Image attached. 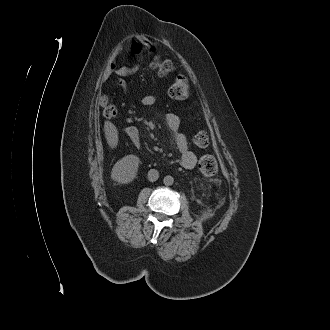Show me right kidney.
<instances>
[{"mask_svg": "<svg viewBox=\"0 0 330 330\" xmlns=\"http://www.w3.org/2000/svg\"><path fill=\"white\" fill-rule=\"evenodd\" d=\"M140 159L135 155H127L112 168L111 179L119 184L132 182L137 175Z\"/></svg>", "mask_w": 330, "mask_h": 330, "instance_id": "obj_1", "label": "right kidney"}]
</instances>
